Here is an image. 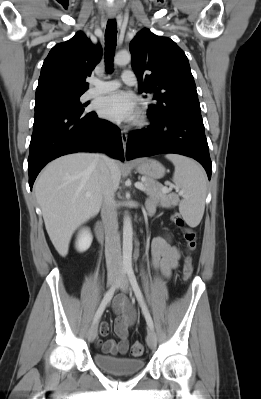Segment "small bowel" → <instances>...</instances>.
I'll return each instance as SVG.
<instances>
[{
  "mask_svg": "<svg viewBox=\"0 0 261 399\" xmlns=\"http://www.w3.org/2000/svg\"><path fill=\"white\" fill-rule=\"evenodd\" d=\"M156 206L157 202L154 198L147 199V210L154 211ZM181 254L182 252L178 247L168 244L162 238H155L152 241V265L155 269L160 270L166 276H169L178 266ZM113 308L117 315L114 323V330L119 341L118 343L113 340H107L105 342L98 341V346L105 354L124 355L129 349V328L134 324L136 314L124 295L116 297ZM99 333L102 337H105L110 333L108 323H101Z\"/></svg>",
  "mask_w": 261,
  "mask_h": 399,
  "instance_id": "small-bowel-1",
  "label": "small bowel"
}]
</instances>
